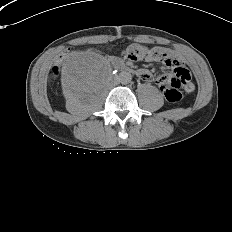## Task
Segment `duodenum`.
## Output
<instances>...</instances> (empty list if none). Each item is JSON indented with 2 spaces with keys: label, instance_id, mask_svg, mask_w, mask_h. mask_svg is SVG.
Wrapping results in <instances>:
<instances>
[{
  "label": "duodenum",
  "instance_id": "1",
  "mask_svg": "<svg viewBox=\"0 0 232 232\" xmlns=\"http://www.w3.org/2000/svg\"><path fill=\"white\" fill-rule=\"evenodd\" d=\"M115 67L121 72L134 73V70L130 66L122 62L116 61Z\"/></svg>",
  "mask_w": 232,
  "mask_h": 232
}]
</instances>
